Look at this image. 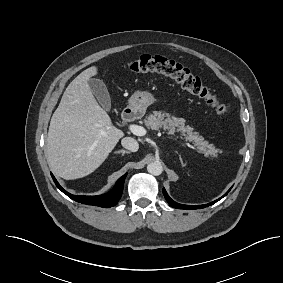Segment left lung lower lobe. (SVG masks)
Here are the masks:
<instances>
[{"label": "left lung lower lobe", "instance_id": "0a47b994", "mask_svg": "<svg viewBox=\"0 0 283 283\" xmlns=\"http://www.w3.org/2000/svg\"><path fill=\"white\" fill-rule=\"evenodd\" d=\"M230 191V190H229ZM228 191V192H229ZM227 192V193H228ZM227 193L225 195H227ZM163 194L167 200V202L174 208H177V209H186V210H190V209H199V208H205L207 206H210L214 203H216L217 201H219L221 198H223L225 195H223L221 198L211 202V203H208V204H205V205H183V204H179V203H176L175 201H173L167 194V192L165 191V189L163 188Z\"/></svg>", "mask_w": 283, "mask_h": 283}]
</instances>
